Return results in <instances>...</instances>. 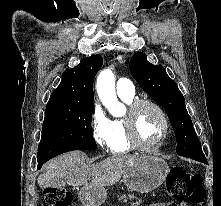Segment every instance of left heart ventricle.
<instances>
[{
  "instance_id": "obj_1",
  "label": "left heart ventricle",
  "mask_w": 221,
  "mask_h": 206,
  "mask_svg": "<svg viewBox=\"0 0 221 206\" xmlns=\"http://www.w3.org/2000/svg\"><path fill=\"white\" fill-rule=\"evenodd\" d=\"M140 141L146 146L156 145L163 134V122L159 114L149 106L141 107L136 114Z\"/></svg>"
}]
</instances>
